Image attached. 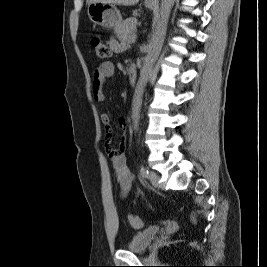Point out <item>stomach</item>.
I'll return each mask as SVG.
<instances>
[{"label": "stomach", "instance_id": "0dacf381", "mask_svg": "<svg viewBox=\"0 0 267 267\" xmlns=\"http://www.w3.org/2000/svg\"><path fill=\"white\" fill-rule=\"evenodd\" d=\"M147 8L152 9L154 2L146 0ZM90 20L103 28H116L122 23L120 11L113 4L94 2L88 5L87 9Z\"/></svg>", "mask_w": 267, "mask_h": 267}]
</instances>
